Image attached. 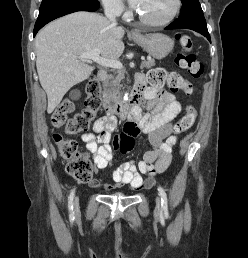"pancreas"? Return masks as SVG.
I'll use <instances>...</instances> for the list:
<instances>
[{
  "mask_svg": "<svg viewBox=\"0 0 248 258\" xmlns=\"http://www.w3.org/2000/svg\"><path fill=\"white\" fill-rule=\"evenodd\" d=\"M142 68H151L155 66L154 59L143 61L141 64ZM124 79V73L121 70H114L113 74L109 75L104 83L105 91L110 95L119 94L121 88L120 82Z\"/></svg>",
  "mask_w": 248,
  "mask_h": 258,
  "instance_id": "1",
  "label": "pancreas"
}]
</instances>
